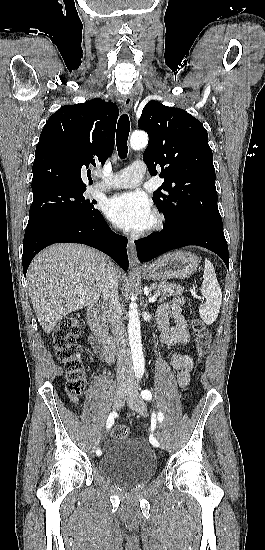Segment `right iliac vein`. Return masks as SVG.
<instances>
[{
	"label": "right iliac vein",
	"mask_w": 265,
	"mask_h": 550,
	"mask_svg": "<svg viewBox=\"0 0 265 550\" xmlns=\"http://www.w3.org/2000/svg\"><path fill=\"white\" fill-rule=\"evenodd\" d=\"M127 390L124 387H118L113 398V409L119 410L124 405Z\"/></svg>",
	"instance_id": "1"
}]
</instances>
